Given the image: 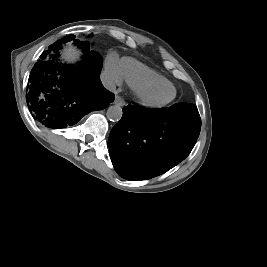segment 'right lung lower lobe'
<instances>
[{
	"label": "right lung lower lobe",
	"instance_id": "1",
	"mask_svg": "<svg viewBox=\"0 0 267 267\" xmlns=\"http://www.w3.org/2000/svg\"><path fill=\"white\" fill-rule=\"evenodd\" d=\"M61 46L49 49L34 65L26 95L33 118L53 129L72 126L114 101L99 78L103 63L100 54L86 51L81 62L61 66L56 62Z\"/></svg>",
	"mask_w": 267,
	"mask_h": 267
}]
</instances>
